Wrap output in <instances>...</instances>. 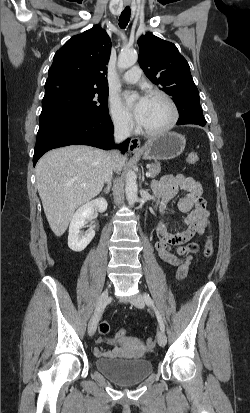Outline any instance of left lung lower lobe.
<instances>
[{
  "mask_svg": "<svg viewBox=\"0 0 250 413\" xmlns=\"http://www.w3.org/2000/svg\"><path fill=\"white\" fill-rule=\"evenodd\" d=\"M179 114L180 117L178 119L177 125L196 124L204 126L206 124L203 113L200 111L191 112L189 109L185 108L183 110H180Z\"/></svg>",
  "mask_w": 250,
  "mask_h": 413,
  "instance_id": "left-lung-lower-lobe-1",
  "label": "left lung lower lobe"
}]
</instances>
